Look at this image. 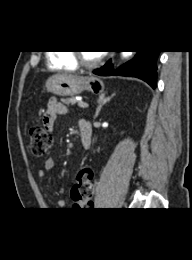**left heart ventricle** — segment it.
<instances>
[{
    "label": "left heart ventricle",
    "mask_w": 192,
    "mask_h": 260,
    "mask_svg": "<svg viewBox=\"0 0 192 260\" xmlns=\"http://www.w3.org/2000/svg\"><path fill=\"white\" fill-rule=\"evenodd\" d=\"M82 53L87 60H94L100 55L99 53L93 51H84Z\"/></svg>",
    "instance_id": "obj_1"
}]
</instances>
